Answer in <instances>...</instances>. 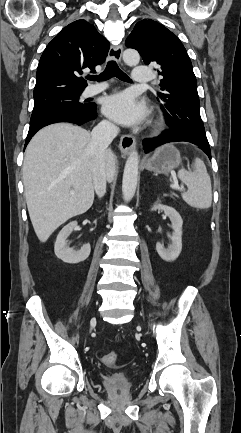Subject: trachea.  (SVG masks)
Returning <instances> with one entry per match:
<instances>
[{
  "label": "trachea",
  "instance_id": "obj_1",
  "mask_svg": "<svg viewBox=\"0 0 241 433\" xmlns=\"http://www.w3.org/2000/svg\"><path fill=\"white\" fill-rule=\"evenodd\" d=\"M117 77L122 81L131 82L130 78L117 65L116 61L111 60L107 63L105 70L96 76H88V80L104 81L112 77Z\"/></svg>",
  "mask_w": 241,
  "mask_h": 433
}]
</instances>
